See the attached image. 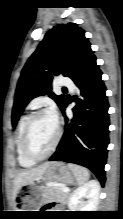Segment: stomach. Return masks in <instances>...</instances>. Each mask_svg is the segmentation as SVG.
Segmentation results:
<instances>
[{"instance_id": "0dacf381", "label": "stomach", "mask_w": 123, "mask_h": 219, "mask_svg": "<svg viewBox=\"0 0 123 219\" xmlns=\"http://www.w3.org/2000/svg\"><path fill=\"white\" fill-rule=\"evenodd\" d=\"M76 177L69 166L62 162H53L46 172L37 180L27 184L25 194L21 197V209H38L43 203L42 187L40 183L60 182L72 184ZM15 211H35V210H15Z\"/></svg>"}]
</instances>
